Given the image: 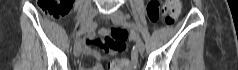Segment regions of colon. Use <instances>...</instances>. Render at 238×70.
<instances>
[{"label":"colon","instance_id":"1","mask_svg":"<svg viewBox=\"0 0 238 70\" xmlns=\"http://www.w3.org/2000/svg\"><path fill=\"white\" fill-rule=\"evenodd\" d=\"M42 11L52 18H62L68 14L71 9V0H40ZM181 9L180 0H167L164 7L161 9L160 1H150L147 4V14L149 19L156 23L160 20L161 12H165V22L170 24L174 21ZM128 33L125 30L111 28L106 31L105 43L109 48L117 51H122L126 47V38ZM125 59L112 60L109 65V70H123L127 66Z\"/></svg>","mask_w":238,"mask_h":70}]
</instances>
